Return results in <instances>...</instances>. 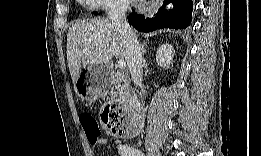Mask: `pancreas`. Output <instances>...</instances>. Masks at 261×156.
<instances>
[{
	"label": "pancreas",
	"instance_id": "pancreas-1",
	"mask_svg": "<svg viewBox=\"0 0 261 156\" xmlns=\"http://www.w3.org/2000/svg\"><path fill=\"white\" fill-rule=\"evenodd\" d=\"M111 82L116 88V100L126 106L131 105L133 102V96L130 91L129 81L125 77L124 73L114 75Z\"/></svg>",
	"mask_w": 261,
	"mask_h": 156
}]
</instances>
